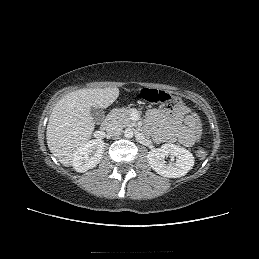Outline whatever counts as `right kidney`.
<instances>
[{"instance_id":"obj_1","label":"right kidney","mask_w":259,"mask_h":259,"mask_svg":"<svg viewBox=\"0 0 259 259\" xmlns=\"http://www.w3.org/2000/svg\"><path fill=\"white\" fill-rule=\"evenodd\" d=\"M105 143L94 139L82 144L74 153L73 168L77 172H86L98 165L102 158Z\"/></svg>"}]
</instances>
